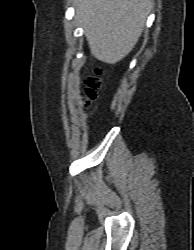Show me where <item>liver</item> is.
<instances>
[{"mask_svg":"<svg viewBox=\"0 0 194 250\" xmlns=\"http://www.w3.org/2000/svg\"><path fill=\"white\" fill-rule=\"evenodd\" d=\"M91 54L116 64L134 48L144 29L151 0H74Z\"/></svg>","mask_w":194,"mask_h":250,"instance_id":"6515ba94","label":"liver"}]
</instances>
